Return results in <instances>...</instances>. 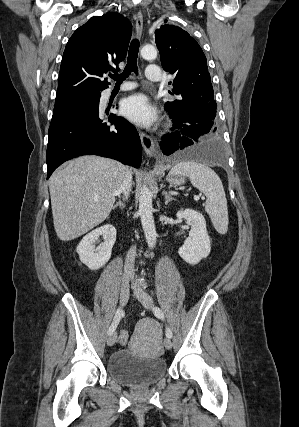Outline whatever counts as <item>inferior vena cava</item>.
Returning <instances> with one entry per match:
<instances>
[{"label": "inferior vena cava", "mask_w": 299, "mask_h": 427, "mask_svg": "<svg viewBox=\"0 0 299 427\" xmlns=\"http://www.w3.org/2000/svg\"><path fill=\"white\" fill-rule=\"evenodd\" d=\"M132 185V177L130 172L127 173L123 183L120 186L119 192L124 193L125 198L129 196ZM136 256V246H132L127 253L125 265H124V274L131 275L134 272V259Z\"/></svg>", "instance_id": "obj_1"}]
</instances>
